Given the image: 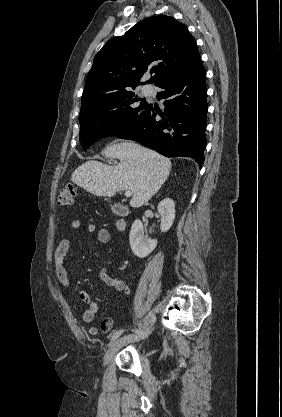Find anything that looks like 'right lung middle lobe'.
Wrapping results in <instances>:
<instances>
[{"label":"right lung middle lobe","instance_id":"dd1d6c3e","mask_svg":"<svg viewBox=\"0 0 282 417\" xmlns=\"http://www.w3.org/2000/svg\"><path fill=\"white\" fill-rule=\"evenodd\" d=\"M132 89L98 94L81 101L79 138L83 149L132 126L148 105Z\"/></svg>","mask_w":282,"mask_h":417}]
</instances>
